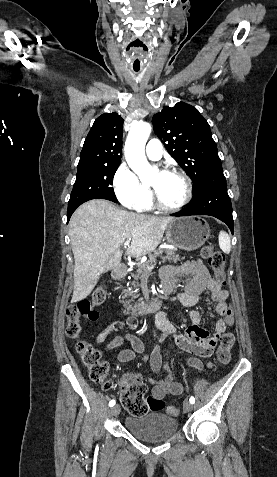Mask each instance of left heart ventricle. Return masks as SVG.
<instances>
[{
	"mask_svg": "<svg viewBox=\"0 0 277 477\" xmlns=\"http://www.w3.org/2000/svg\"><path fill=\"white\" fill-rule=\"evenodd\" d=\"M149 184L156 190L165 205L175 206L184 198L185 184L177 175L157 172Z\"/></svg>",
	"mask_w": 277,
	"mask_h": 477,
	"instance_id": "b2bd125f",
	"label": "left heart ventricle"
}]
</instances>
